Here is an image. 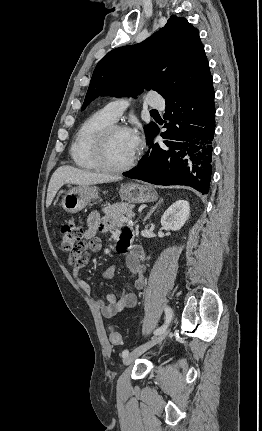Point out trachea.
I'll return each instance as SVG.
<instances>
[{
  "mask_svg": "<svg viewBox=\"0 0 262 431\" xmlns=\"http://www.w3.org/2000/svg\"><path fill=\"white\" fill-rule=\"evenodd\" d=\"M151 114H158L157 110H151Z\"/></svg>",
  "mask_w": 262,
  "mask_h": 431,
  "instance_id": "3493384b",
  "label": "trachea"
}]
</instances>
